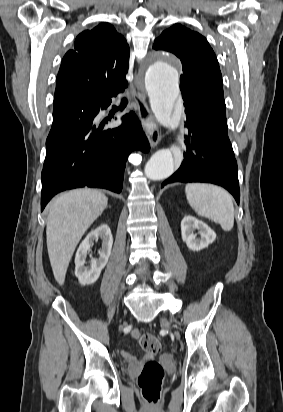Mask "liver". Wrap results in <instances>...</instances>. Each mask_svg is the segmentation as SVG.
<instances>
[{"label": "liver", "instance_id": "1", "mask_svg": "<svg viewBox=\"0 0 283 412\" xmlns=\"http://www.w3.org/2000/svg\"><path fill=\"white\" fill-rule=\"evenodd\" d=\"M108 203L104 193L95 189H75L48 205L47 249L55 280L63 285L69 262L77 244L102 214Z\"/></svg>", "mask_w": 283, "mask_h": 412}]
</instances>
